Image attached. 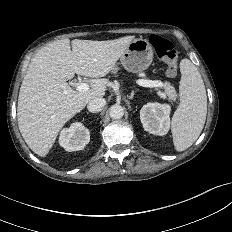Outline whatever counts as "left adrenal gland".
I'll return each mask as SVG.
<instances>
[{"label":"left adrenal gland","mask_w":232,"mask_h":232,"mask_svg":"<svg viewBox=\"0 0 232 232\" xmlns=\"http://www.w3.org/2000/svg\"><path fill=\"white\" fill-rule=\"evenodd\" d=\"M134 96V92H132V94L129 96V99H133Z\"/></svg>","instance_id":"1"}]
</instances>
